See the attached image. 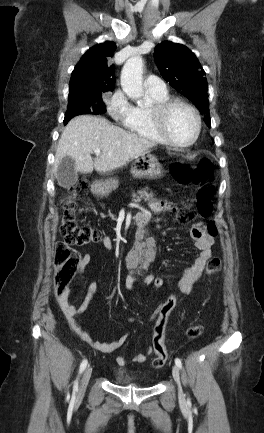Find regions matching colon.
I'll use <instances>...</instances> for the list:
<instances>
[{"mask_svg":"<svg viewBox=\"0 0 264 433\" xmlns=\"http://www.w3.org/2000/svg\"><path fill=\"white\" fill-rule=\"evenodd\" d=\"M175 181L181 185H196L198 191L194 199L195 209H191V201H187L185 207L176 214L180 223H189L197 216L209 217L213 213V164L208 158L201 159L197 165L174 164L171 168ZM88 192V185L85 181L77 182L70 189V194L62 201V217L60 231L64 241L58 244L55 254V291L58 296L68 290L70 281L75 276L79 265V254L73 246H86L102 241L101 232L92 226L81 225L76 214V201L84 198ZM207 230L211 235L217 234V226L210 221ZM221 260L212 257L208 260L206 273L213 274L220 270ZM177 304V296L170 295L158 308L157 320L154 325L152 346L155 351L153 366L162 367L167 360V351L164 345L165 331L168 319ZM203 332L201 325L188 327L187 337L193 339Z\"/></svg>","mask_w":264,"mask_h":433,"instance_id":"5ec220e1","label":"colon"}]
</instances>
